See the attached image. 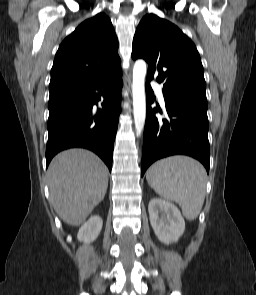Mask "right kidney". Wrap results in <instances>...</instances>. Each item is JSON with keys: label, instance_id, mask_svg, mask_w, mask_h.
<instances>
[{"label": "right kidney", "instance_id": "ca27d5eb", "mask_svg": "<svg viewBox=\"0 0 256 295\" xmlns=\"http://www.w3.org/2000/svg\"><path fill=\"white\" fill-rule=\"evenodd\" d=\"M103 225L102 218L95 215L86 221L77 234V239L84 243H90L94 241L101 232Z\"/></svg>", "mask_w": 256, "mask_h": 295}]
</instances>
